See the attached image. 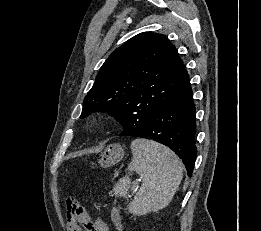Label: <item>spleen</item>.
<instances>
[{"instance_id": "1", "label": "spleen", "mask_w": 261, "mask_h": 231, "mask_svg": "<svg viewBox=\"0 0 261 231\" xmlns=\"http://www.w3.org/2000/svg\"><path fill=\"white\" fill-rule=\"evenodd\" d=\"M131 149L133 160L128 165V171L138 173L143 182L128 205L129 211L141 216L165 208L181 182V161L165 146L147 139L133 140ZM129 187L130 179L125 176L114 186V194L124 196Z\"/></svg>"}]
</instances>
